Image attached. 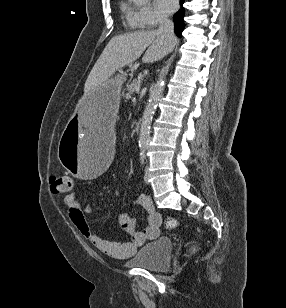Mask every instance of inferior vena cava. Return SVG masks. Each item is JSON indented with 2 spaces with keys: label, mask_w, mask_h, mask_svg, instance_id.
<instances>
[{
  "label": "inferior vena cava",
  "mask_w": 286,
  "mask_h": 308,
  "mask_svg": "<svg viewBox=\"0 0 286 308\" xmlns=\"http://www.w3.org/2000/svg\"><path fill=\"white\" fill-rule=\"evenodd\" d=\"M159 23L160 24H159V28L157 32L170 40H175L173 22L164 16V17H161Z\"/></svg>",
  "instance_id": "602c4592"
}]
</instances>
